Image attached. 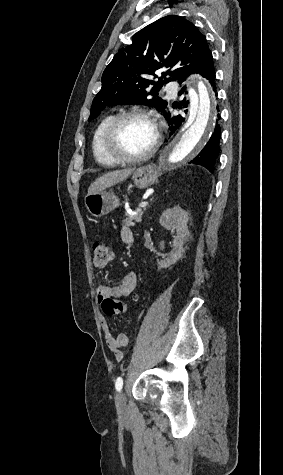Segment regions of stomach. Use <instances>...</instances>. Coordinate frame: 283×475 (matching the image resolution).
<instances>
[{
    "label": "stomach",
    "mask_w": 283,
    "mask_h": 475,
    "mask_svg": "<svg viewBox=\"0 0 283 475\" xmlns=\"http://www.w3.org/2000/svg\"><path fill=\"white\" fill-rule=\"evenodd\" d=\"M160 170H158L155 164H148V166H142V168H137L132 174V180L137 186V188H148L152 186L158 180ZM85 206L96 218L100 216H105L111 210H115L119 206V198L115 196L114 192H99V194H92V196H85L84 198Z\"/></svg>",
    "instance_id": "1"
}]
</instances>
